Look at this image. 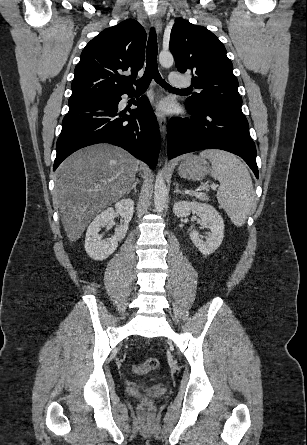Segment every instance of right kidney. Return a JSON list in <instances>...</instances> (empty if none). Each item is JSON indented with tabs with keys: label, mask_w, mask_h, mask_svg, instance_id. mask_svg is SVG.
<instances>
[{
	"label": "right kidney",
	"mask_w": 307,
	"mask_h": 445,
	"mask_svg": "<svg viewBox=\"0 0 307 445\" xmlns=\"http://www.w3.org/2000/svg\"><path fill=\"white\" fill-rule=\"evenodd\" d=\"M115 210L122 216L124 223L115 229V235L108 241H101V235H98L100 227H111ZM114 208H106L101 214H97L92 223H90L85 239V251L94 261H104L108 259L118 247L119 241L124 239L130 220L133 216L134 200L132 198H122L116 202Z\"/></svg>",
	"instance_id": "1"
}]
</instances>
